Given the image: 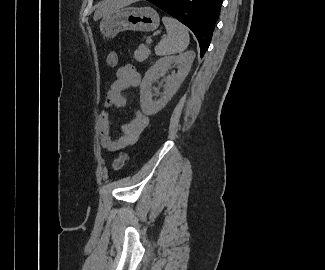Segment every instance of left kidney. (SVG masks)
<instances>
[{
  "label": "left kidney",
  "mask_w": 325,
  "mask_h": 270,
  "mask_svg": "<svg viewBox=\"0 0 325 270\" xmlns=\"http://www.w3.org/2000/svg\"><path fill=\"white\" fill-rule=\"evenodd\" d=\"M195 56L193 51H187L178 56H167L160 58L148 69L140 85V103L144 114L154 115L166 106L188 75ZM172 64H178L177 73L168 78L161 98L153 100L152 84L158 75L167 72Z\"/></svg>",
  "instance_id": "1"
}]
</instances>
